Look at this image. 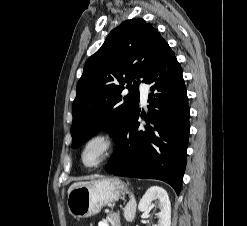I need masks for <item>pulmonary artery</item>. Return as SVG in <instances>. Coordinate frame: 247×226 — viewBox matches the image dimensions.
Here are the masks:
<instances>
[{
    "instance_id": "1",
    "label": "pulmonary artery",
    "mask_w": 247,
    "mask_h": 226,
    "mask_svg": "<svg viewBox=\"0 0 247 226\" xmlns=\"http://www.w3.org/2000/svg\"><path fill=\"white\" fill-rule=\"evenodd\" d=\"M140 97L143 104H146L148 98V87L146 84L141 83L139 85Z\"/></svg>"
}]
</instances>
